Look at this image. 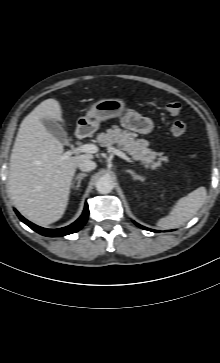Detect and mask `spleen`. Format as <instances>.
Segmentation results:
<instances>
[{
	"label": "spleen",
	"instance_id": "3e777b00",
	"mask_svg": "<svg viewBox=\"0 0 220 363\" xmlns=\"http://www.w3.org/2000/svg\"><path fill=\"white\" fill-rule=\"evenodd\" d=\"M207 198L205 187H199L188 196L180 198L171 214L160 220L158 226L163 229L177 228L189 221L203 206Z\"/></svg>",
	"mask_w": 220,
	"mask_h": 363
}]
</instances>
